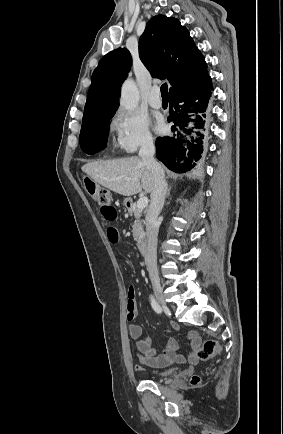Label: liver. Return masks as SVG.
Here are the masks:
<instances>
[{
  "label": "liver",
  "instance_id": "liver-1",
  "mask_svg": "<svg viewBox=\"0 0 283 434\" xmlns=\"http://www.w3.org/2000/svg\"><path fill=\"white\" fill-rule=\"evenodd\" d=\"M81 169L96 183L123 196L142 190L151 193L154 185L150 169L137 156L88 162Z\"/></svg>",
  "mask_w": 283,
  "mask_h": 434
}]
</instances>
